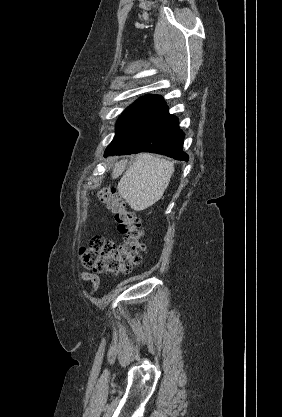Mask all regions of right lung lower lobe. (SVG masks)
<instances>
[{
	"instance_id": "obj_1",
	"label": "right lung lower lobe",
	"mask_w": 282,
	"mask_h": 417,
	"mask_svg": "<svg viewBox=\"0 0 282 417\" xmlns=\"http://www.w3.org/2000/svg\"><path fill=\"white\" fill-rule=\"evenodd\" d=\"M184 133L178 127V118L168 113L159 98L137 120L116 134L105 151L109 155L153 152L188 161L183 151Z\"/></svg>"
}]
</instances>
